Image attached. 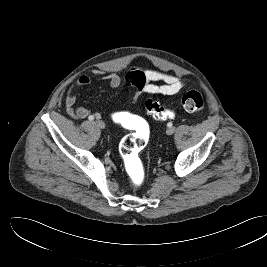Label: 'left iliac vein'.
Returning <instances> with one entry per match:
<instances>
[{
  "mask_svg": "<svg viewBox=\"0 0 267 267\" xmlns=\"http://www.w3.org/2000/svg\"><path fill=\"white\" fill-rule=\"evenodd\" d=\"M174 132H175V128H174V127H169V128H167V130H166V133H167L168 135H172Z\"/></svg>",
  "mask_w": 267,
  "mask_h": 267,
  "instance_id": "left-iliac-vein-1",
  "label": "left iliac vein"
}]
</instances>
